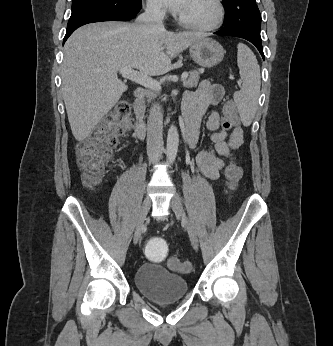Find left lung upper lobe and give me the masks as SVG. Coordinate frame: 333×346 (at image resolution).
Wrapping results in <instances>:
<instances>
[{
    "label": "left lung upper lobe",
    "instance_id": "left-lung-upper-lobe-1",
    "mask_svg": "<svg viewBox=\"0 0 333 346\" xmlns=\"http://www.w3.org/2000/svg\"><path fill=\"white\" fill-rule=\"evenodd\" d=\"M224 27L238 28L260 37L261 14L255 0H223Z\"/></svg>",
    "mask_w": 333,
    "mask_h": 346
}]
</instances>
